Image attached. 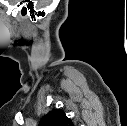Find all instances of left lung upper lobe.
Listing matches in <instances>:
<instances>
[{
    "mask_svg": "<svg viewBox=\"0 0 127 126\" xmlns=\"http://www.w3.org/2000/svg\"><path fill=\"white\" fill-rule=\"evenodd\" d=\"M39 126H73L72 121L61 109L50 111L40 121Z\"/></svg>",
    "mask_w": 127,
    "mask_h": 126,
    "instance_id": "left-lung-upper-lobe-1",
    "label": "left lung upper lobe"
}]
</instances>
